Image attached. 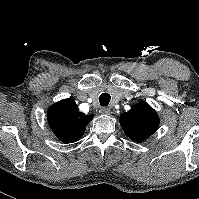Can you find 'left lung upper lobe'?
Instances as JSON below:
<instances>
[{
	"instance_id": "5c2ea615",
	"label": "left lung upper lobe",
	"mask_w": 199,
	"mask_h": 199,
	"mask_svg": "<svg viewBox=\"0 0 199 199\" xmlns=\"http://www.w3.org/2000/svg\"><path fill=\"white\" fill-rule=\"evenodd\" d=\"M119 121L125 134L135 142H142L150 137L160 122L156 111L144 101L124 112Z\"/></svg>"
}]
</instances>
